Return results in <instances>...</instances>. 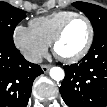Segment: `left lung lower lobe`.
<instances>
[{
	"label": "left lung lower lobe",
	"instance_id": "obj_1",
	"mask_svg": "<svg viewBox=\"0 0 107 107\" xmlns=\"http://www.w3.org/2000/svg\"><path fill=\"white\" fill-rule=\"evenodd\" d=\"M60 93L70 107L107 105V33L94 38L88 54L78 64L65 66Z\"/></svg>",
	"mask_w": 107,
	"mask_h": 107
}]
</instances>
